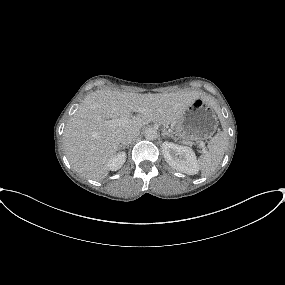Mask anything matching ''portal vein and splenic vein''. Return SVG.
Instances as JSON below:
<instances>
[{"mask_svg":"<svg viewBox=\"0 0 285 285\" xmlns=\"http://www.w3.org/2000/svg\"><path fill=\"white\" fill-rule=\"evenodd\" d=\"M141 112H143V111H141ZM127 120H128L127 118L122 117V118H118V119H112V120L109 121V123H110V124H114V125H118V124L127 122ZM204 146H205V143H204V142H200V143L198 144V147L204 148Z\"/></svg>","mask_w":285,"mask_h":285,"instance_id":"18ae733b","label":"portal vein and splenic vein"}]
</instances>
